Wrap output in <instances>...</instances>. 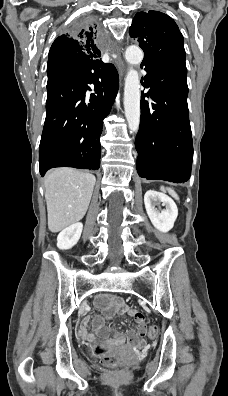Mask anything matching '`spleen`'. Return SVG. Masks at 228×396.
Wrapping results in <instances>:
<instances>
[{"instance_id":"spleen-1","label":"spleen","mask_w":228,"mask_h":396,"mask_svg":"<svg viewBox=\"0 0 228 396\" xmlns=\"http://www.w3.org/2000/svg\"><path fill=\"white\" fill-rule=\"evenodd\" d=\"M161 191L166 192V190L168 191V193L174 197L175 199H179L178 195L176 194V192L172 189V188H164L163 186L160 188Z\"/></svg>"}]
</instances>
